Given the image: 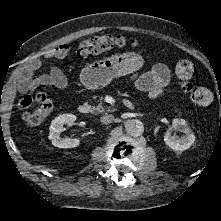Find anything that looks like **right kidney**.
Wrapping results in <instances>:
<instances>
[{
    "mask_svg": "<svg viewBox=\"0 0 221 221\" xmlns=\"http://www.w3.org/2000/svg\"><path fill=\"white\" fill-rule=\"evenodd\" d=\"M77 119L73 114H62L56 117L50 127H49V136L52 144L58 148H74L80 145V140L77 138H62L60 136L61 132L64 131L63 125L67 123H72Z\"/></svg>",
    "mask_w": 221,
    "mask_h": 221,
    "instance_id": "1",
    "label": "right kidney"
}]
</instances>
